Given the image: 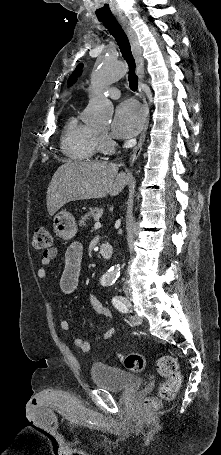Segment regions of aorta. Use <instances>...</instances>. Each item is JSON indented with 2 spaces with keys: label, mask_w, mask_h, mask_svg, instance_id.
<instances>
[{
  "label": "aorta",
  "mask_w": 221,
  "mask_h": 455,
  "mask_svg": "<svg viewBox=\"0 0 221 455\" xmlns=\"http://www.w3.org/2000/svg\"><path fill=\"white\" fill-rule=\"evenodd\" d=\"M125 75V65L109 58L103 59L93 70L91 76L92 96L86 109L85 122L91 125L108 124L112 118L113 105L103 96V89L119 81ZM120 274L119 264L109 268L104 275L106 282L115 281Z\"/></svg>",
  "instance_id": "aorta-1"
}]
</instances>
